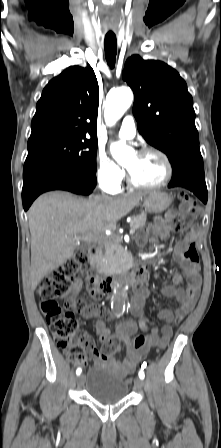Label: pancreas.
Listing matches in <instances>:
<instances>
[{
  "mask_svg": "<svg viewBox=\"0 0 221 448\" xmlns=\"http://www.w3.org/2000/svg\"><path fill=\"white\" fill-rule=\"evenodd\" d=\"M146 219L145 213L133 216L130 223L131 228L135 230L143 228ZM124 254L121 239L118 237L108 238L99 253L101 269L106 273H114L121 270L124 264Z\"/></svg>",
  "mask_w": 221,
  "mask_h": 448,
  "instance_id": "obj_1",
  "label": "pancreas"
}]
</instances>
